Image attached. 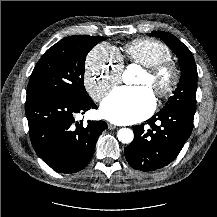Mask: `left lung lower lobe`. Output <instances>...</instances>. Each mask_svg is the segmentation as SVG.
Listing matches in <instances>:
<instances>
[{
  "label": "left lung lower lobe",
  "instance_id": "0a47b994",
  "mask_svg": "<svg viewBox=\"0 0 217 217\" xmlns=\"http://www.w3.org/2000/svg\"><path fill=\"white\" fill-rule=\"evenodd\" d=\"M195 111L174 108L158 112L146 124L133 127L134 140L125 148L128 163L140 171H154L171 163L193 129Z\"/></svg>",
  "mask_w": 217,
  "mask_h": 217
}]
</instances>
